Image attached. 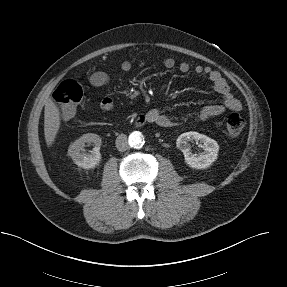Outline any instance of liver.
Segmentation results:
<instances>
[{
  "label": "liver",
  "instance_id": "6515ba94",
  "mask_svg": "<svg viewBox=\"0 0 287 287\" xmlns=\"http://www.w3.org/2000/svg\"><path fill=\"white\" fill-rule=\"evenodd\" d=\"M60 111L57 105L49 98L44 108V135L48 147H51L55 141L60 128Z\"/></svg>",
  "mask_w": 287,
  "mask_h": 287
}]
</instances>
